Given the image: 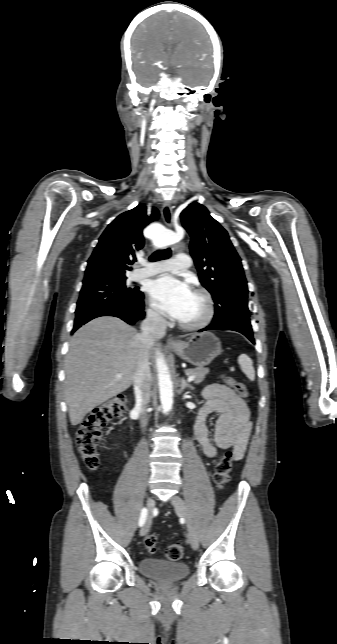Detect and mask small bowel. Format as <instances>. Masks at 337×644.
I'll list each match as a JSON object with an SVG mask.
<instances>
[{
    "mask_svg": "<svg viewBox=\"0 0 337 644\" xmlns=\"http://www.w3.org/2000/svg\"><path fill=\"white\" fill-rule=\"evenodd\" d=\"M205 399L194 427V438L207 458L214 459L219 449L232 448L235 461L244 457L252 430L250 412L244 400L232 389L211 384L203 391ZM218 414L213 434L207 427V417Z\"/></svg>",
    "mask_w": 337,
    "mask_h": 644,
    "instance_id": "obj_1",
    "label": "small bowel"
}]
</instances>
